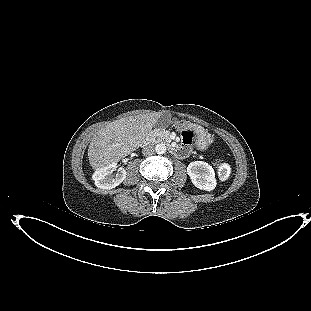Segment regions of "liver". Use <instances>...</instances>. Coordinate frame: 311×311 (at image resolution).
<instances>
[{
    "label": "liver",
    "mask_w": 311,
    "mask_h": 311,
    "mask_svg": "<svg viewBox=\"0 0 311 311\" xmlns=\"http://www.w3.org/2000/svg\"><path fill=\"white\" fill-rule=\"evenodd\" d=\"M158 112L121 118L101 128L88 147L91 167L98 170L136 150L156 125Z\"/></svg>",
    "instance_id": "obj_1"
}]
</instances>
